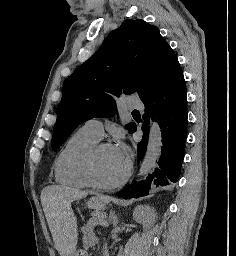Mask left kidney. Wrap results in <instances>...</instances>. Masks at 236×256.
Returning <instances> with one entry per match:
<instances>
[{
  "instance_id": "5707ae66",
  "label": "left kidney",
  "mask_w": 236,
  "mask_h": 256,
  "mask_svg": "<svg viewBox=\"0 0 236 256\" xmlns=\"http://www.w3.org/2000/svg\"><path fill=\"white\" fill-rule=\"evenodd\" d=\"M133 218L138 224H143L144 230H150L155 224L156 212L151 206H137L133 212Z\"/></svg>"
}]
</instances>
